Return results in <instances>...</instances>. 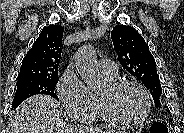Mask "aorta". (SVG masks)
I'll list each match as a JSON object with an SVG mask.
<instances>
[{"label":"aorta","mask_w":184,"mask_h":133,"mask_svg":"<svg viewBox=\"0 0 184 133\" xmlns=\"http://www.w3.org/2000/svg\"><path fill=\"white\" fill-rule=\"evenodd\" d=\"M76 69L91 90H96L101 85V77L98 71L97 58L91 45H83L75 53Z\"/></svg>","instance_id":"1"}]
</instances>
